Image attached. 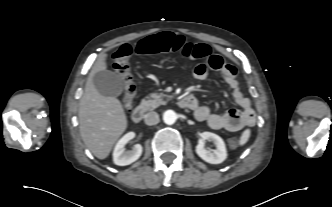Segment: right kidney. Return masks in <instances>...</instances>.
I'll use <instances>...</instances> for the list:
<instances>
[{"mask_svg":"<svg viewBox=\"0 0 332 207\" xmlns=\"http://www.w3.org/2000/svg\"><path fill=\"white\" fill-rule=\"evenodd\" d=\"M135 137L134 132H129L125 134L116 144L113 151V162L119 166L129 165L136 160L142 154V146L140 144H136L132 150L126 151V144Z\"/></svg>","mask_w":332,"mask_h":207,"instance_id":"obj_1","label":"right kidney"}]
</instances>
